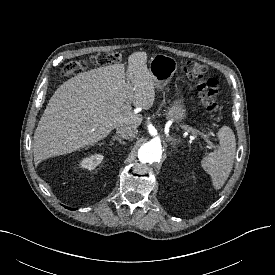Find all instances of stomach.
<instances>
[{"mask_svg":"<svg viewBox=\"0 0 275 275\" xmlns=\"http://www.w3.org/2000/svg\"><path fill=\"white\" fill-rule=\"evenodd\" d=\"M176 70V60L165 54H156L149 62V71L157 89H163L170 82ZM167 117L174 122L184 120L186 117L185 106L180 101H175L168 108Z\"/></svg>","mask_w":275,"mask_h":275,"instance_id":"stomach-1","label":"stomach"}]
</instances>
